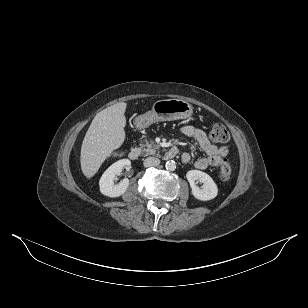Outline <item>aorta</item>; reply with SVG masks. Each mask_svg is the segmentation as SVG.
<instances>
[{"label": "aorta", "instance_id": "aorta-1", "mask_svg": "<svg viewBox=\"0 0 308 308\" xmlns=\"http://www.w3.org/2000/svg\"><path fill=\"white\" fill-rule=\"evenodd\" d=\"M166 169L169 171H174L176 169V163L173 160L166 162Z\"/></svg>", "mask_w": 308, "mask_h": 308}]
</instances>
